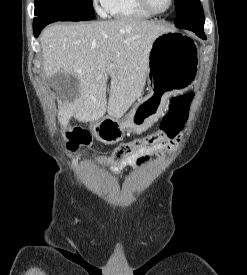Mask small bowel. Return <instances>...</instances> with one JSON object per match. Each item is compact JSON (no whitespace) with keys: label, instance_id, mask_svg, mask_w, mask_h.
I'll return each instance as SVG.
<instances>
[{"label":"small bowel","instance_id":"small-bowel-1","mask_svg":"<svg viewBox=\"0 0 247 275\" xmlns=\"http://www.w3.org/2000/svg\"><path fill=\"white\" fill-rule=\"evenodd\" d=\"M174 142L170 141L167 142L165 144L159 145L157 147H155L154 150H163V149H169L173 146ZM148 150L147 149H143L140 152H138L134 157L118 164V166L112 167V171L114 173H118L120 170H122L124 167L130 165L134 160L136 162L137 165H140L142 163H144L145 161L148 160L149 156L147 155Z\"/></svg>","mask_w":247,"mask_h":275}]
</instances>
